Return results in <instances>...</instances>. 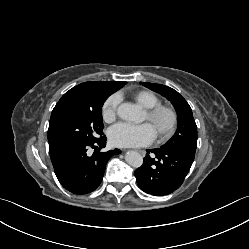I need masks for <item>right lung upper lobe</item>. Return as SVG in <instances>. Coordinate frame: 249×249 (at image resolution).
<instances>
[{
	"mask_svg": "<svg viewBox=\"0 0 249 249\" xmlns=\"http://www.w3.org/2000/svg\"><path fill=\"white\" fill-rule=\"evenodd\" d=\"M125 84L126 82L124 81H91L81 83L66 92L56 104L51 114L48 129L50 156H53L58 152V150L53 147L50 140V130L59 115L73 107L82 106L85 104L87 96L92 92L107 91L112 94L123 87Z\"/></svg>",
	"mask_w": 249,
	"mask_h": 249,
	"instance_id": "right-lung-upper-lobe-1",
	"label": "right lung upper lobe"
}]
</instances>
